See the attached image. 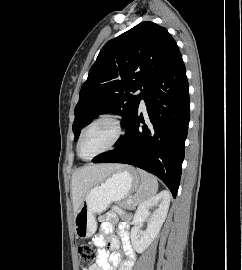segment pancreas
<instances>
[{
    "label": "pancreas",
    "instance_id": "cf45deb5",
    "mask_svg": "<svg viewBox=\"0 0 242 270\" xmlns=\"http://www.w3.org/2000/svg\"><path fill=\"white\" fill-rule=\"evenodd\" d=\"M122 207L127 208V209H133L134 208V203L131 200H127L124 203H122Z\"/></svg>",
    "mask_w": 242,
    "mask_h": 270
}]
</instances>
